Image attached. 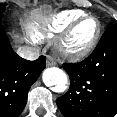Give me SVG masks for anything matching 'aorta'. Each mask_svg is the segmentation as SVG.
<instances>
[{
  "label": "aorta",
  "instance_id": "aorta-1",
  "mask_svg": "<svg viewBox=\"0 0 117 117\" xmlns=\"http://www.w3.org/2000/svg\"><path fill=\"white\" fill-rule=\"evenodd\" d=\"M42 80L46 86H55L59 91L63 90L68 82L66 73L57 67L45 69L42 74Z\"/></svg>",
  "mask_w": 117,
  "mask_h": 117
}]
</instances>
